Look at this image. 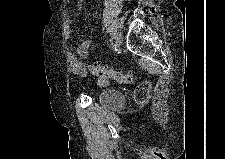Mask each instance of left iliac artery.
<instances>
[{"mask_svg": "<svg viewBox=\"0 0 225 159\" xmlns=\"http://www.w3.org/2000/svg\"><path fill=\"white\" fill-rule=\"evenodd\" d=\"M114 31H115V30L112 28V29L109 31V33H108V34H109V36H108V37H109V41H110L112 44L115 42V36H114L115 33H114Z\"/></svg>", "mask_w": 225, "mask_h": 159, "instance_id": "44dca946", "label": "left iliac artery"}]
</instances>
